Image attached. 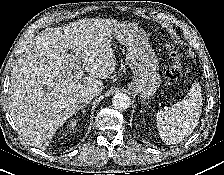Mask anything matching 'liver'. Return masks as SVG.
Segmentation results:
<instances>
[{
    "label": "liver",
    "instance_id": "6515ba94",
    "mask_svg": "<svg viewBox=\"0 0 224 175\" xmlns=\"http://www.w3.org/2000/svg\"><path fill=\"white\" fill-rule=\"evenodd\" d=\"M119 26L112 19H81L36 36L13 66L8 90L10 114L24 140L45 148L75 114L83 91L102 93L101 79L117 66L111 36ZM80 68L90 77H73Z\"/></svg>",
    "mask_w": 224,
    "mask_h": 175
}]
</instances>
